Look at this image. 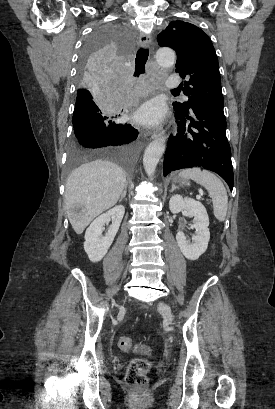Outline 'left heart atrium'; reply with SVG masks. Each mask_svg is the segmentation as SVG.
I'll list each match as a JSON object with an SVG mask.
<instances>
[{
	"label": "left heart atrium",
	"instance_id": "39dd6f15",
	"mask_svg": "<svg viewBox=\"0 0 275 409\" xmlns=\"http://www.w3.org/2000/svg\"><path fill=\"white\" fill-rule=\"evenodd\" d=\"M161 117V108L154 103H147L136 113L135 120L144 124H156Z\"/></svg>",
	"mask_w": 275,
	"mask_h": 409
}]
</instances>
